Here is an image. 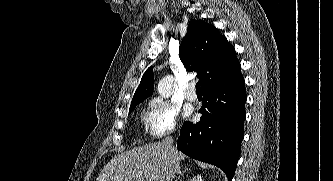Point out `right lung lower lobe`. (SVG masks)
<instances>
[{
  "mask_svg": "<svg viewBox=\"0 0 333 181\" xmlns=\"http://www.w3.org/2000/svg\"><path fill=\"white\" fill-rule=\"evenodd\" d=\"M246 90L241 73L203 90L200 122H185L177 148L221 168L232 180L244 136Z\"/></svg>",
  "mask_w": 333,
  "mask_h": 181,
  "instance_id": "right-lung-lower-lobe-1",
  "label": "right lung lower lobe"
}]
</instances>
